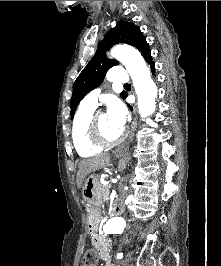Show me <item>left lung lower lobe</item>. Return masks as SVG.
Listing matches in <instances>:
<instances>
[{
	"instance_id": "obj_1",
	"label": "left lung lower lobe",
	"mask_w": 221,
	"mask_h": 266,
	"mask_svg": "<svg viewBox=\"0 0 221 266\" xmlns=\"http://www.w3.org/2000/svg\"><path fill=\"white\" fill-rule=\"evenodd\" d=\"M148 63H150L151 65V70L153 72V74L155 73V64L154 62L151 60V61H148ZM127 96V94L125 95V97ZM130 107V109H132V107L130 105H128Z\"/></svg>"
}]
</instances>
